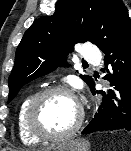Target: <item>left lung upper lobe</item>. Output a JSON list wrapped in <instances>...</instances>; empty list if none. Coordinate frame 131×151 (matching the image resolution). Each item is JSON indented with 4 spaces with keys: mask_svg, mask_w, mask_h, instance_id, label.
Returning <instances> with one entry per match:
<instances>
[{
    "mask_svg": "<svg viewBox=\"0 0 131 151\" xmlns=\"http://www.w3.org/2000/svg\"><path fill=\"white\" fill-rule=\"evenodd\" d=\"M130 34L122 0H58L53 15L38 18L24 33L9 76L8 102L25 84L65 66L75 44L90 41L104 52ZM80 77L92 82L91 76Z\"/></svg>",
    "mask_w": 131,
    "mask_h": 151,
    "instance_id": "1",
    "label": "left lung upper lobe"
}]
</instances>
